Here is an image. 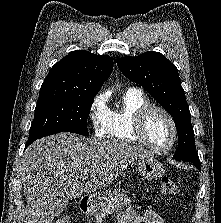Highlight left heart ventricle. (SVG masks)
<instances>
[{
	"mask_svg": "<svg viewBox=\"0 0 221 223\" xmlns=\"http://www.w3.org/2000/svg\"><path fill=\"white\" fill-rule=\"evenodd\" d=\"M145 134L147 139L157 146L168 145L173 137L169 120L159 111H154L147 119Z\"/></svg>",
	"mask_w": 221,
	"mask_h": 223,
	"instance_id": "left-heart-ventricle-1",
	"label": "left heart ventricle"
}]
</instances>
